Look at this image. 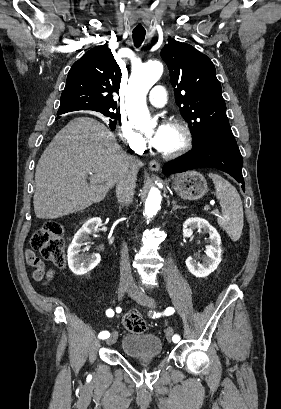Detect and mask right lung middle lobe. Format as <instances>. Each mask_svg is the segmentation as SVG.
Listing matches in <instances>:
<instances>
[{
	"label": "right lung middle lobe",
	"instance_id": "right-lung-middle-lobe-1",
	"mask_svg": "<svg viewBox=\"0 0 281 409\" xmlns=\"http://www.w3.org/2000/svg\"><path fill=\"white\" fill-rule=\"evenodd\" d=\"M104 116L110 117L112 119H116L117 116L114 114L112 111H107V112H101Z\"/></svg>",
	"mask_w": 281,
	"mask_h": 409
}]
</instances>
